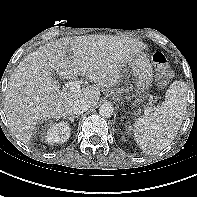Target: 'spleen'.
<instances>
[{
	"instance_id": "3e777b00",
	"label": "spleen",
	"mask_w": 197,
	"mask_h": 197,
	"mask_svg": "<svg viewBox=\"0 0 197 197\" xmlns=\"http://www.w3.org/2000/svg\"><path fill=\"white\" fill-rule=\"evenodd\" d=\"M187 106V87L174 81L165 94V101L149 115L134 124V137L142 151L154 153L166 148L180 129Z\"/></svg>"
}]
</instances>
